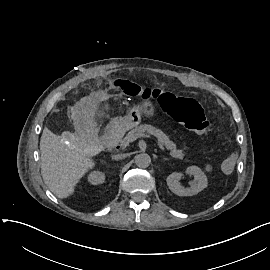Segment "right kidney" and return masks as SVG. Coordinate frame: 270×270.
<instances>
[{
    "instance_id": "ca27d5eb",
    "label": "right kidney",
    "mask_w": 270,
    "mask_h": 270,
    "mask_svg": "<svg viewBox=\"0 0 270 270\" xmlns=\"http://www.w3.org/2000/svg\"><path fill=\"white\" fill-rule=\"evenodd\" d=\"M89 181L94 185L100 184L104 181V175L100 172H93L89 177Z\"/></svg>"
}]
</instances>
